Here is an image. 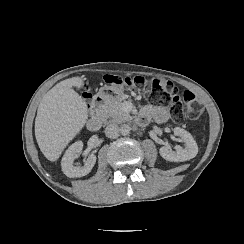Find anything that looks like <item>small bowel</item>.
Instances as JSON below:
<instances>
[{
  "instance_id": "1",
  "label": "small bowel",
  "mask_w": 244,
  "mask_h": 244,
  "mask_svg": "<svg viewBox=\"0 0 244 244\" xmlns=\"http://www.w3.org/2000/svg\"><path fill=\"white\" fill-rule=\"evenodd\" d=\"M140 117L144 122L154 120L157 123H165L170 119V113L163 107L146 105L142 108Z\"/></svg>"
}]
</instances>
